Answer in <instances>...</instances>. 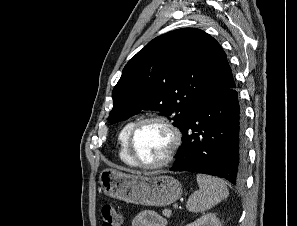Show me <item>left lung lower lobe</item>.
I'll list each match as a JSON object with an SVG mask.
<instances>
[{"label":"left lung lower lobe","instance_id":"1","mask_svg":"<svg viewBox=\"0 0 297 226\" xmlns=\"http://www.w3.org/2000/svg\"><path fill=\"white\" fill-rule=\"evenodd\" d=\"M182 145L171 171L225 178L234 185L245 179L243 111L234 88L207 91L181 128Z\"/></svg>","mask_w":297,"mask_h":226}]
</instances>
